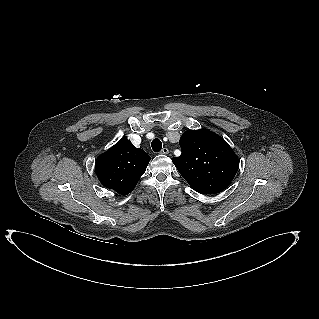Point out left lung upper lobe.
<instances>
[{
  "mask_svg": "<svg viewBox=\"0 0 319 319\" xmlns=\"http://www.w3.org/2000/svg\"><path fill=\"white\" fill-rule=\"evenodd\" d=\"M182 153L172 161L191 188L219 193L234 178L239 161L228 143L209 130H189L179 140Z\"/></svg>",
  "mask_w": 319,
  "mask_h": 319,
  "instance_id": "obj_1",
  "label": "left lung upper lobe"
}]
</instances>
